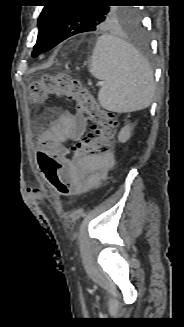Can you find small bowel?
I'll list each match as a JSON object with an SVG mask.
<instances>
[{
    "instance_id": "small-bowel-1",
    "label": "small bowel",
    "mask_w": 184,
    "mask_h": 327,
    "mask_svg": "<svg viewBox=\"0 0 184 327\" xmlns=\"http://www.w3.org/2000/svg\"><path fill=\"white\" fill-rule=\"evenodd\" d=\"M88 120L82 113L63 114L57 118L42 134L39 153H57L64 160H84L78 165L65 168L64 178L72 183V194L81 193L95 187L106 176L115 164L112 152H104L95 156L82 153H65L64 143L67 141H80L86 133ZM53 165V164H39ZM25 195L36 199V206H45V199L41 188H25Z\"/></svg>"
}]
</instances>
